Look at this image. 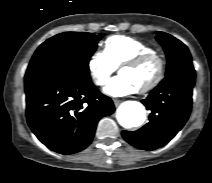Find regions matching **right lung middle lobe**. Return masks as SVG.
Returning <instances> with one entry per match:
<instances>
[{
    "mask_svg": "<svg viewBox=\"0 0 212 183\" xmlns=\"http://www.w3.org/2000/svg\"><path fill=\"white\" fill-rule=\"evenodd\" d=\"M103 34L65 32L42 43L26 73H56L89 76L88 62Z\"/></svg>",
    "mask_w": 212,
    "mask_h": 183,
    "instance_id": "right-lung-middle-lobe-1",
    "label": "right lung middle lobe"
}]
</instances>
